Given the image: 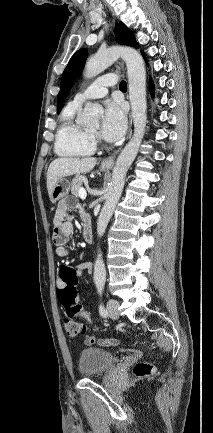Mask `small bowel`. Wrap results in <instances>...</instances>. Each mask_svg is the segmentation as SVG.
<instances>
[{
	"mask_svg": "<svg viewBox=\"0 0 213 433\" xmlns=\"http://www.w3.org/2000/svg\"><path fill=\"white\" fill-rule=\"evenodd\" d=\"M73 205L74 203L69 199L60 201L53 217V241L56 245L57 256L62 258L67 257L70 254V249L67 247V242L74 234V227L68 211ZM81 219L83 227L90 226V218L85 212L81 213ZM73 268L76 270L78 276L85 273L90 274L92 272V264L88 262L81 263L74 266ZM56 284L58 290L63 286L60 275L57 277ZM85 342L88 344H93L96 342V338L94 336H87L85 338ZM98 343L103 346H114L118 344V340L114 338H102L98 340Z\"/></svg>",
	"mask_w": 213,
	"mask_h": 433,
	"instance_id": "c3829d8e",
	"label": "small bowel"
}]
</instances>
